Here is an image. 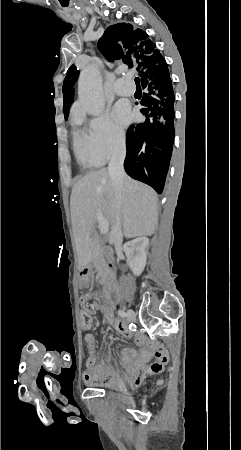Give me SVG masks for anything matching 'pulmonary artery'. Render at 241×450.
I'll use <instances>...</instances> for the list:
<instances>
[{"mask_svg":"<svg viewBox=\"0 0 241 450\" xmlns=\"http://www.w3.org/2000/svg\"><path fill=\"white\" fill-rule=\"evenodd\" d=\"M133 78H117L115 84V91L118 96H123L120 92H130L133 87Z\"/></svg>","mask_w":241,"mask_h":450,"instance_id":"pulmonary-artery-1","label":"pulmonary artery"}]
</instances>
